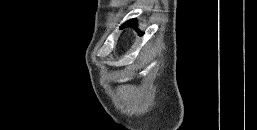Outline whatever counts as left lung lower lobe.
Listing matches in <instances>:
<instances>
[{"mask_svg": "<svg viewBox=\"0 0 257 130\" xmlns=\"http://www.w3.org/2000/svg\"><path fill=\"white\" fill-rule=\"evenodd\" d=\"M130 23L136 24L137 21H136V19H131V20L126 22V24H130Z\"/></svg>", "mask_w": 257, "mask_h": 130, "instance_id": "1", "label": "left lung lower lobe"}]
</instances>
